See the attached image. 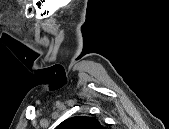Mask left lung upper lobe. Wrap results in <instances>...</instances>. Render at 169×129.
<instances>
[{
    "label": "left lung upper lobe",
    "instance_id": "obj_1",
    "mask_svg": "<svg viewBox=\"0 0 169 129\" xmlns=\"http://www.w3.org/2000/svg\"><path fill=\"white\" fill-rule=\"evenodd\" d=\"M58 129H103V125L92 117L76 116L66 119L58 125Z\"/></svg>",
    "mask_w": 169,
    "mask_h": 129
}]
</instances>
